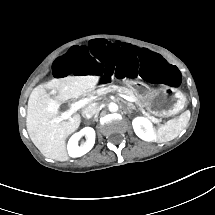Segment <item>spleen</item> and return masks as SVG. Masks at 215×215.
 <instances>
[{
  "label": "spleen",
  "instance_id": "3e777b00",
  "mask_svg": "<svg viewBox=\"0 0 215 215\" xmlns=\"http://www.w3.org/2000/svg\"><path fill=\"white\" fill-rule=\"evenodd\" d=\"M186 111L185 113H187ZM189 120L184 118V115H181L179 118L169 120L165 125H162L155 134V139L157 142H167L175 139L180 132L183 130L185 125Z\"/></svg>",
  "mask_w": 215,
  "mask_h": 215
}]
</instances>
